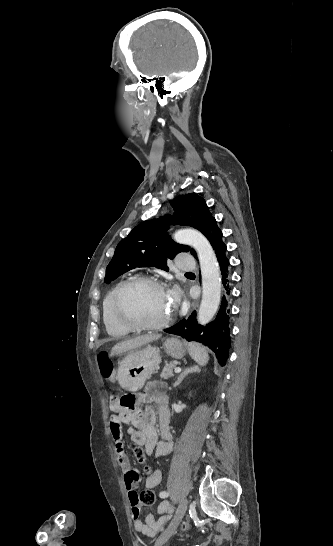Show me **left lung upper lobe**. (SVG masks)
Here are the masks:
<instances>
[{"label": "left lung upper lobe", "instance_id": "left-lung-upper-lobe-1", "mask_svg": "<svg viewBox=\"0 0 333 546\" xmlns=\"http://www.w3.org/2000/svg\"><path fill=\"white\" fill-rule=\"evenodd\" d=\"M173 216L147 220L136 226L121 240L106 268L105 283H110L123 273L136 267H156L169 271L168 261L189 247L175 243L168 235L169 224L190 226L201 231L207 238L215 218L205 200L197 194L181 195L171 201ZM191 253L195 255L193 249Z\"/></svg>", "mask_w": 333, "mask_h": 546}]
</instances>
